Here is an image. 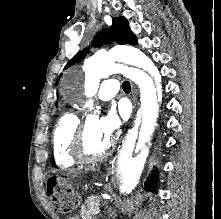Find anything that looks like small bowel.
<instances>
[{
  "instance_id": "obj_1",
  "label": "small bowel",
  "mask_w": 221,
  "mask_h": 219,
  "mask_svg": "<svg viewBox=\"0 0 221 219\" xmlns=\"http://www.w3.org/2000/svg\"><path fill=\"white\" fill-rule=\"evenodd\" d=\"M68 219H78L77 217H69Z\"/></svg>"
}]
</instances>
